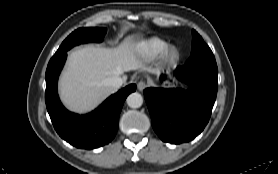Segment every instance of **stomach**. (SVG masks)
<instances>
[{"label":"stomach","instance_id":"stomach-1","mask_svg":"<svg viewBox=\"0 0 278 174\" xmlns=\"http://www.w3.org/2000/svg\"><path fill=\"white\" fill-rule=\"evenodd\" d=\"M167 85L169 86V87H173L174 86V83H172V82H167Z\"/></svg>","mask_w":278,"mask_h":174}]
</instances>
